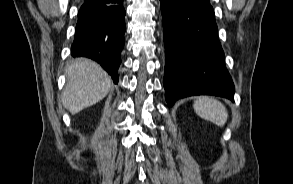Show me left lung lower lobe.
<instances>
[{"label": "left lung lower lobe", "mask_w": 293, "mask_h": 184, "mask_svg": "<svg viewBox=\"0 0 293 184\" xmlns=\"http://www.w3.org/2000/svg\"><path fill=\"white\" fill-rule=\"evenodd\" d=\"M165 43V98L169 106L192 95L234 101L209 0H160Z\"/></svg>", "instance_id": "0a47b994"}]
</instances>
